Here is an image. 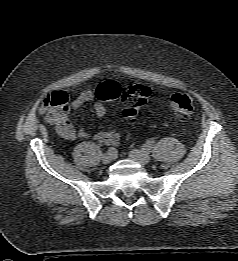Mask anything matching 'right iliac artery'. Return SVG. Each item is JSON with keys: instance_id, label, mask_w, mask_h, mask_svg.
<instances>
[{"instance_id": "82829eb1", "label": "right iliac artery", "mask_w": 238, "mask_h": 261, "mask_svg": "<svg viewBox=\"0 0 238 261\" xmlns=\"http://www.w3.org/2000/svg\"><path fill=\"white\" fill-rule=\"evenodd\" d=\"M116 153H117V150H116L115 148H113V147L109 148L108 154H109L110 156H113V155H115Z\"/></svg>"}]
</instances>
